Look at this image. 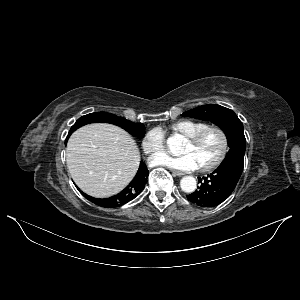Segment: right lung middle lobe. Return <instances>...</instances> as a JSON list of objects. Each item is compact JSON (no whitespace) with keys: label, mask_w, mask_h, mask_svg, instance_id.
I'll use <instances>...</instances> for the list:
<instances>
[{"label":"right lung middle lobe","mask_w":300,"mask_h":300,"mask_svg":"<svg viewBox=\"0 0 300 300\" xmlns=\"http://www.w3.org/2000/svg\"><path fill=\"white\" fill-rule=\"evenodd\" d=\"M96 122L115 124L125 129L131 135L138 138H143L145 134V126L142 123H133L131 121L126 120L125 118L118 117L114 114L98 112V113H90L80 117L75 122V124L71 127L68 137L77 128L89 123H96Z\"/></svg>","instance_id":"obj_1"}]
</instances>
